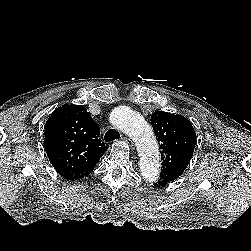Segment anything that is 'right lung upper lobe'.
<instances>
[{
  "label": "right lung upper lobe",
  "mask_w": 251,
  "mask_h": 251,
  "mask_svg": "<svg viewBox=\"0 0 251 251\" xmlns=\"http://www.w3.org/2000/svg\"><path fill=\"white\" fill-rule=\"evenodd\" d=\"M44 129L49 161L67 180L87 176L108 148L100 139L99 126L83 106L57 108Z\"/></svg>",
  "instance_id": "right-lung-upper-lobe-1"
}]
</instances>
